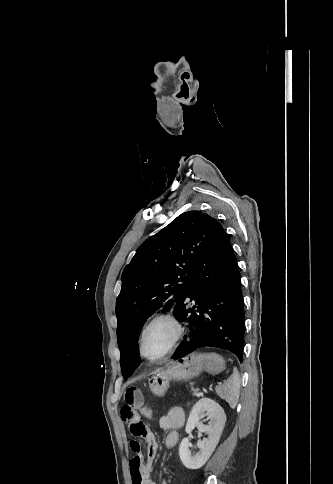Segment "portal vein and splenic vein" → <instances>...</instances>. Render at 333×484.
I'll use <instances>...</instances> for the list:
<instances>
[{
	"label": "portal vein and splenic vein",
	"instance_id": "18ae733b",
	"mask_svg": "<svg viewBox=\"0 0 333 484\" xmlns=\"http://www.w3.org/2000/svg\"><path fill=\"white\" fill-rule=\"evenodd\" d=\"M195 395L199 397V396H201V395H202V393H201V392H198V389H196V390H195Z\"/></svg>",
	"mask_w": 333,
	"mask_h": 484
}]
</instances>
